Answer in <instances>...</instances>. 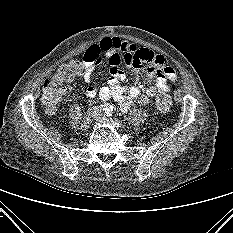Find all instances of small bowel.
<instances>
[{
	"label": "small bowel",
	"instance_id": "c3829d8e",
	"mask_svg": "<svg viewBox=\"0 0 233 233\" xmlns=\"http://www.w3.org/2000/svg\"><path fill=\"white\" fill-rule=\"evenodd\" d=\"M102 57L107 58L110 63L111 78L108 84L100 90L95 86H88L83 88V92L87 98H93L97 94L103 100L112 98L123 112L135 103L147 105L157 93L168 91L167 80H177V73L167 64L164 56L145 48H137L118 37H108L92 44L84 53L85 68L82 76L86 82L91 81L93 68ZM122 62L135 70L136 84L129 87L120 84L125 78L119 68ZM143 63L149 65L147 82L155 80V84L147 86L145 92L141 94V90L146 85V82L140 80V68Z\"/></svg>",
	"mask_w": 233,
	"mask_h": 233
}]
</instances>
